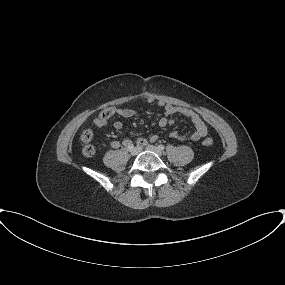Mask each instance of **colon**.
I'll return each instance as SVG.
<instances>
[{
    "instance_id": "1",
    "label": "colon",
    "mask_w": 285,
    "mask_h": 285,
    "mask_svg": "<svg viewBox=\"0 0 285 285\" xmlns=\"http://www.w3.org/2000/svg\"><path fill=\"white\" fill-rule=\"evenodd\" d=\"M109 115H110V112L104 113L105 117H108ZM92 138H93V134L90 130H85L81 134V141L83 143L82 153L87 157L92 156L94 154V151H95L93 145L91 144ZM203 144L206 147H210V146H212L213 141H212V139L207 138L204 140Z\"/></svg>"
}]
</instances>
